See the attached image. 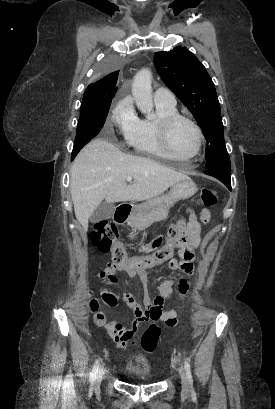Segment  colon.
Instances as JSON below:
<instances>
[{
	"instance_id": "5ec220e1",
	"label": "colon",
	"mask_w": 275,
	"mask_h": 409,
	"mask_svg": "<svg viewBox=\"0 0 275 409\" xmlns=\"http://www.w3.org/2000/svg\"><path fill=\"white\" fill-rule=\"evenodd\" d=\"M217 194L210 188L202 190L200 197L196 200L197 208H210L217 203ZM119 228L107 220L99 221L93 228L89 236V243L103 252L113 253L112 261L108 262L104 272L105 280H111L117 270H125L126 274H142L143 269L155 270L157 265L167 263L168 257L174 256V245L178 242L177 230L170 224L166 230L167 242H163V235L159 234L147 244V248L152 250L147 256H125L124 246L119 241ZM160 246V247H159ZM159 247V248H158ZM158 248V249H157ZM157 249V250H156ZM115 296L107 291H102L100 299L93 298L89 301V309L92 313H97L94 317L95 325H113V322L107 320L102 314L98 313L101 304L113 305Z\"/></svg>"
}]
</instances>
